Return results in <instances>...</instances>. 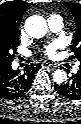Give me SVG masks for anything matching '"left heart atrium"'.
Instances as JSON below:
<instances>
[{
  "mask_svg": "<svg viewBox=\"0 0 81 124\" xmlns=\"http://www.w3.org/2000/svg\"><path fill=\"white\" fill-rule=\"evenodd\" d=\"M58 48H59V44L57 42H53L47 46L46 54L51 57L55 54V52Z\"/></svg>",
  "mask_w": 81,
  "mask_h": 124,
  "instance_id": "1",
  "label": "left heart atrium"
}]
</instances>
